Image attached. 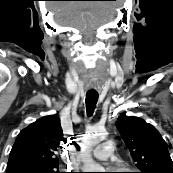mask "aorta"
<instances>
[{"mask_svg":"<svg viewBox=\"0 0 173 173\" xmlns=\"http://www.w3.org/2000/svg\"><path fill=\"white\" fill-rule=\"evenodd\" d=\"M106 133L102 128H93L90 132L85 135L84 144L87 147H92L98 144L104 137ZM82 162L84 164V170L86 172H103V167L95 163L89 153L81 154Z\"/></svg>","mask_w":173,"mask_h":173,"instance_id":"aorta-1","label":"aorta"}]
</instances>
